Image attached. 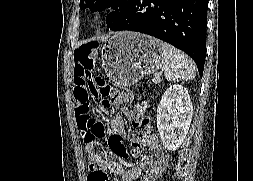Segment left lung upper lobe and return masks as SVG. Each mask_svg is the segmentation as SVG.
Returning <instances> with one entry per match:
<instances>
[{
  "mask_svg": "<svg viewBox=\"0 0 253 181\" xmlns=\"http://www.w3.org/2000/svg\"><path fill=\"white\" fill-rule=\"evenodd\" d=\"M134 0H80L81 9L90 8L91 11L102 10L105 7L113 9L107 16L106 24L109 28L118 24L132 7Z\"/></svg>",
  "mask_w": 253,
  "mask_h": 181,
  "instance_id": "obj_1",
  "label": "left lung upper lobe"
}]
</instances>
